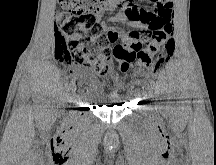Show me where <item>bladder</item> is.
<instances>
[{"label": "bladder", "instance_id": "obj_1", "mask_svg": "<svg viewBox=\"0 0 216 165\" xmlns=\"http://www.w3.org/2000/svg\"><path fill=\"white\" fill-rule=\"evenodd\" d=\"M117 85H118V82H117V81H103V82H102L101 89H102V90H107V89H108V86H117ZM87 97H90V96H87ZM96 99H97V100H102V99H103V96H102V95H97V96H96Z\"/></svg>", "mask_w": 216, "mask_h": 165}]
</instances>
